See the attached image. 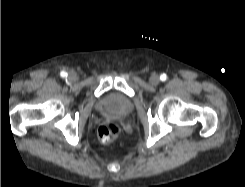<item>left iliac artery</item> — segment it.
<instances>
[{"mask_svg": "<svg viewBox=\"0 0 245 187\" xmlns=\"http://www.w3.org/2000/svg\"><path fill=\"white\" fill-rule=\"evenodd\" d=\"M166 79H167L166 74H161L160 80H161V81H165Z\"/></svg>", "mask_w": 245, "mask_h": 187, "instance_id": "obj_1", "label": "left iliac artery"}]
</instances>
